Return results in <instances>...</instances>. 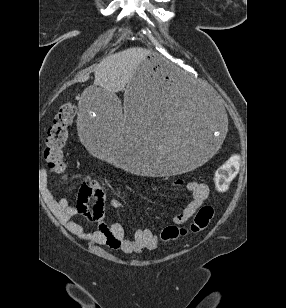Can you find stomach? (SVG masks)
Here are the masks:
<instances>
[{
	"mask_svg": "<svg viewBox=\"0 0 286 308\" xmlns=\"http://www.w3.org/2000/svg\"><path fill=\"white\" fill-rule=\"evenodd\" d=\"M215 91L188 81L166 55L138 60L122 97L89 85L77 97L75 124L92 156L132 168L136 177H182L226 144L227 113Z\"/></svg>",
	"mask_w": 286,
	"mask_h": 308,
	"instance_id": "1",
	"label": "stomach"
}]
</instances>
